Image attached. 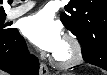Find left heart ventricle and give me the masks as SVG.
<instances>
[{
    "instance_id": "obj_1",
    "label": "left heart ventricle",
    "mask_w": 107,
    "mask_h": 75,
    "mask_svg": "<svg viewBox=\"0 0 107 75\" xmlns=\"http://www.w3.org/2000/svg\"><path fill=\"white\" fill-rule=\"evenodd\" d=\"M55 54L61 58H65L69 55V48L65 41H63L62 45Z\"/></svg>"
}]
</instances>
